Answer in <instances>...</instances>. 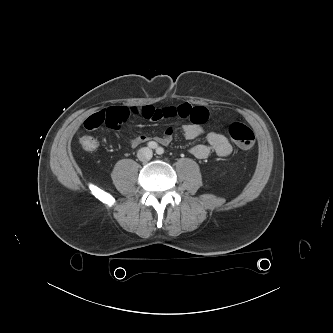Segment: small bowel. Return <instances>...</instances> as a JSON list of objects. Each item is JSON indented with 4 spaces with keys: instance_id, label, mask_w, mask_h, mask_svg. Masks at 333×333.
<instances>
[{
    "instance_id": "c3829d8e",
    "label": "small bowel",
    "mask_w": 333,
    "mask_h": 333,
    "mask_svg": "<svg viewBox=\"0 0 333 333\" xmlns=\"http://www.w3.org/2000/svg\"><path fill=\"white\" fill-rule=\"evenodd\" d=\"M138 114L152 121H160L169 117H180L188 122L182 126L184 136L189 139H196L203 135L202 125L207 121L209 112L202 106H193L189 103H183L175 107L156 109L152 106H142L138 108L128 107H110L93 113L84 121V127L87 130H95L102 124L113 129H119L121 124L131 115ZM173 135L171 127L165 128L161 135L155 137L159 143L167 145ZM150 140L147 135L139 134L130 139L132 146H138ZM233 150L230 140L218 133L209 132L206 135V142L194 145L190 153L198 159H206L211 153L226 157Z\"/></svg>"
}]
</instances>
